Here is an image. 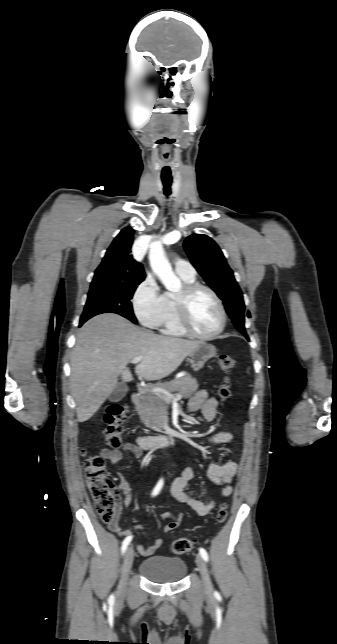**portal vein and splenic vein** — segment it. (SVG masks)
I'll return each mask as SVG.
<instances>
[{
	"label": "portal vein and splenic vein",
	"mask_w": 337,
	"mask_h": 644,
	"mask_svg": "<svg viewBox=\"0 0 337 644\" xmlns=\"http://www.w3.org/2000/svg\"><path fill=\"white\" fill-rule=\"evenodd\" d=\"M141 360H142V357H136V358H133L131 362L133 364H137ZM152 391L154 393H156V394H162L167 400H180L182 398L181 394L173 395L170 392H168L167 390L162 389L160 387H155V388L152 389Z\"/></svg>",
	"instance_id": "portal-vein-and-splenic-vein-1"
}]
</instances>
